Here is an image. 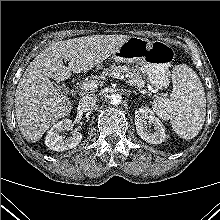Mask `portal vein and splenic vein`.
Here are the masks:
<instances>
[{
  "instance_id": "18ae733b",
  "label": "portal vein and splenic vein",
  "mask_w": 220,
  "mask_h": 220,
  "mask_svg": "<svg viewBox=\"0 0 220 220\" xmlns=\"http://www.w3.org/2000/svg\"><path fill=\"white\" fill-rule=\"evenodd\" d=\"M110 76L113 78L120 79V80H125L124 75H122L120 73H111ZM98 85H99V81L96 79H93V80H89L87 82H84L81 85V88L85 91H89V90L97 89Z\"/></svg>"
}]
</instances>
